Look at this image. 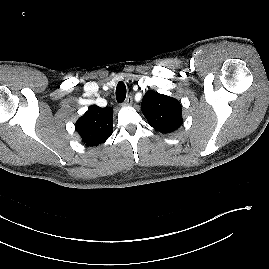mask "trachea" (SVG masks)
<instances>
[{
    "label": "trachea",
    "instance_id": "trachea-1",
    "mask_svg": "<svg viewBox=\"0 0 269 269\" xmlns=\"http://www.w3.org/2000/svg\"><path fill=\"white\" fill-rule=\"evenodd\" d=\"M125 98H126V86L122 81H120L116 87V99L119 103H122L124 102Z\"/></svg>",
    "mask_w": 269,
    "mask_h": 269
}]
</instances>
